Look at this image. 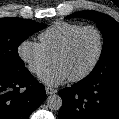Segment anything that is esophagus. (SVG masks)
Instances as JSON below:
<instances>
[{
	"instance_id": "esophagus-1",
	"label": "esophagus",
	"mask_w": 119,
	"mask_h": 119,
	"mask_svg": "<svg viewBox=\"0 0 119 119\" xmlns=\"http://www.w3.org/2000/svg\"><path fill=\"white\" fill-rule=\"evenodd\" d=\"M45 91H46V93H47L48 95L57 93V90L54 89V88H51V87H46V88H45Z\"/></svg>"
}]
</instances>
